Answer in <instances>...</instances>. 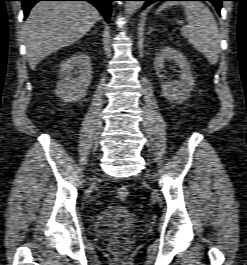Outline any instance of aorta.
Returning <instances> with one entry per match:
<instances>
[{
  "label": "aorta",
  "mask_w": 247,
  "mask_h": 265,
  "mask_svg": "<svg viewBox=\"0 0 247 265\" xmlns=\"http://www.w3.org/2000/svg\"><path fill=\"white\" fill-rule=\"evenodd\" d=\"M142 6L141 1H127L124 8V13L129 16Z\"/></svg>",
  "instance_id": "aorta-1"
}]
</instances>
